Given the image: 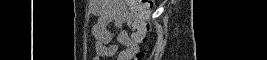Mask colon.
Listing matches in <instances>:
<instances>
[{
  "label": "colon",
  "mask_w": 267,
  "mask_h": 60,
  "mask_svg": "<svg viewBox=\"0 0 267 60\" xmlns=\"http://www.w3.org/2000/svg\"><path fill=\"white\" fill-rule=\"evenodd\" d=\"M131 10L134 23L140 31H142L144 38L151 31L150 16L153 12V1L151 0H126L125 1ZM145 55V49L137 47L135 50V58L140 59Z\"/></svg>",
  "instance_id": "obj_1"
}]
</instances>
